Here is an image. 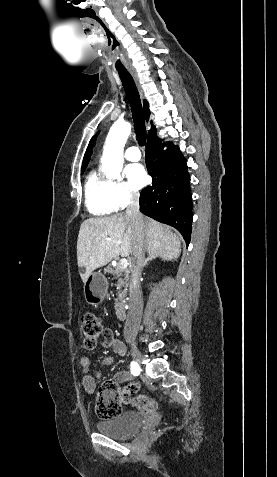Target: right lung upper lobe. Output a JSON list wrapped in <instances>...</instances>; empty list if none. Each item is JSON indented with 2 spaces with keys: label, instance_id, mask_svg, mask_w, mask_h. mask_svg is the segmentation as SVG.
Returning a JSON list of instances; mask_svg holds the SVG:
<instances>
[{
  "label": "right lung upper lobe",
  "instance_id": "right-lung-upper-lobe-1",
  "mask_svg": "<svg viewBox=\"0 0 277 477\" xmlns=\"http://www.w3.org/2000/svg\"><path fill=\"white\" fill-rule=\"evenodd\" d=\"M144 115H145L146 121H148L149 116H150V111H149V106H148L147 101H144ZM151 124H152V122H151ZM154 138H157V135H156V128L152 124V128L148 133V141L151 140V139H154ZM91 148H92V140L90 141V143L88 145V148L86 150V153L84 155V159H83V163H82V169H85L88 165L90 156L92 154Z\"/></svg>",
  "mask_w": 277,
  "mask_h": 477
}]
</instances>
